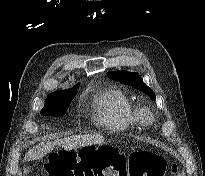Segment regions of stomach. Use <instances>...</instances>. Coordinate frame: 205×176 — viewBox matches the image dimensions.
I'll return each mask as SVG.
<instances>
[{
	"label": "stomach",
	"mask_w": 205,
	"mask_h": 176,
	"mask_svg": "<svg viewBox=\"0 0 205 176\" xmlns=\"http://www.w3.org/2000/svg\"><path fill=\"white\" fill-rule=\"evenodd\" d=\"M104 146L103 145H99V146H94V145H89V146H85V147H82L81 150H84L86 152H89L91 149H95V151H98L99 149L103 148Z\"/></svg>",
	"instance_id": "obj_1"
}]
</instances>
